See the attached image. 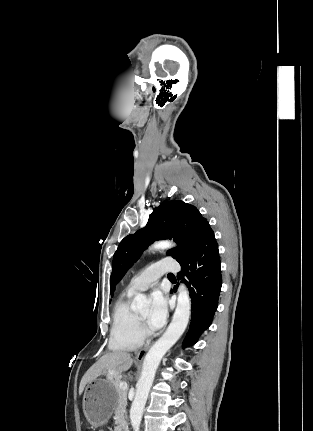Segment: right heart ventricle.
Listing matches in <instances>:
<instances>
[{
	"label": "right heart ventricle",
	"instance_id": "e07e8e85",
	"mask_svg": "<svg viewBox=\"0 0 313 431\" xmlns=\"http://www.w3.org/2000/svg\"><path fill=\"white\" fill-rule=\"evenodd\" d=\"M132 294L120 298L113 310V324L109 346L112 350L132 351L143 342L137 313L131 307Z\"/></svg>",
	"mask_w": 313,
	"mask_h": 431
}]
</instances>
